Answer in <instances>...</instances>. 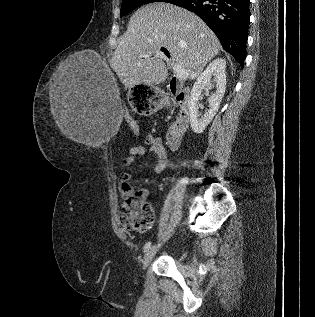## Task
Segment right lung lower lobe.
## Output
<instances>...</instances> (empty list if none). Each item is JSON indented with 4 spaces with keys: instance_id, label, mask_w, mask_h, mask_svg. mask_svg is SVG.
<instances>
[{
    "instance_id": "obj_1",
    "label": "right lung lower lobe",
    "mask_w": 315,
    "mask_h": 317,
    "mask_svg": "<svg viewBox=\"0 0 315 317\" xmlns=\"http://www.w3.org/2000/svg\"><path fill=\"white\" fill-rule=\"evenodd\" d=\"M172 4L197 14L216 34L224 50L244 66L250 0H177Z\"/></svg>"
}]
</instances>
